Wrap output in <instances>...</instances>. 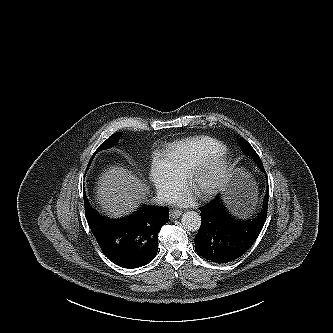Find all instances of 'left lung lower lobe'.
Wrapping results in <instances>:
<instances>
[{
	"label": "left lung lower lobe",
	"mask_w": 333,
	"mask_h": 333,
	"mask_svg": "<svg viewBox=\"0 0 333 333\" xmlns=\"http://www.w3.org/2000/svg\"><path fill=\"white\" fill-rule=\"evenodd\" d=\"M268 199L267 189L261 213L247 220L234 216L220 195L200 207L201 226L195 237L197 253L216 263H228L242 256L256 241L264 226Z\"/></svg>",
	"instance_id": "left-lung-lower-lobe-1"
}]
</instances>
